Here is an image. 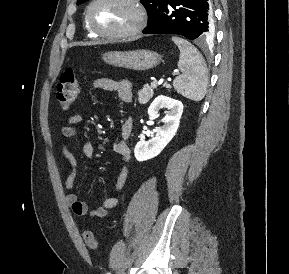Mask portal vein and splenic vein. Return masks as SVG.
Segmentation results:
<instances>
[{
	"label": "portal vein and splenic vein",
	"mask_w": 289,
	"mask_h": 274,
	"mask_svg": "<svg viewBox=\"0 0 289 274\" xmlns=\"http://www.w3.org/2000/svg\"><path fill=\"white\" fill-rule=\"evenodd\" d=\"M162 83V81H153L152 83H151V86L153 87V88H156L158 85H160Z\"/></svg>",
	"instance_id": "obj_1"
}]
</instances>
